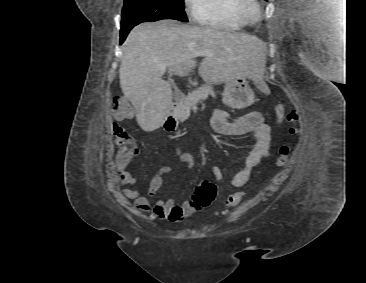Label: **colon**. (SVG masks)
<instances>
[{"mask_svg":"<svg viewBox=\"0 0 366 283\" xmlns=\"http://www.w3.org/2000/svg\"><path fill=\"white\" fill-rule=\"evenodd\" d=\"M275 113L278 122H283L286 120L291 123L290 133L296 132L294 124L298 120V114L294 110H288L285 105L278 104L275 108ZM131 115V107L123 97L118 98L115 101L113 107V116L116 120L127 119ZM113 137L116 144L119 146V151L116 157V161L119 165H127L138 153V148L133 142L127 131L119 126L114 125L113 127ZM290 148L287 145H283L279 148V156L277 158V165L284 166L289 158ZM216 195V185L210 181L204 180L198 184L192 201L190 202L191 207L195 211H199L202 208L208 206L214 199ZM245 193L242 191L235 192L230 195L226 204L229 207L236 206L244 198Z\"/></svg>","mask_w":366,"mask_h":283,"instance_id":"colon-1","label":"colon"}]
</instances>
